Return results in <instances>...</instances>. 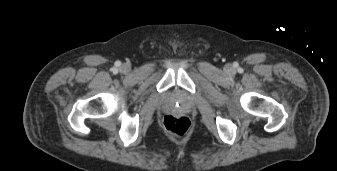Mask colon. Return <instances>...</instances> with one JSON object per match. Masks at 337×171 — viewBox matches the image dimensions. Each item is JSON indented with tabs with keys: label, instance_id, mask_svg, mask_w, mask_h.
I'll return each instance as SVG.
<instances>
[{
	"label": "colon",
	"instance_id": "colon-1",
	"mask_svg": "<svg viewBox=\"0 0 337 171\" xmlns=\"http://www.w3.org/2000/svg\"><path fill=\"white\" fill-rule=\"evenodd\" d=\"M163 124L165 129L174 135H183L190 127V121L185 116L168 115Z\"/></svg>",
	"mask_w": 337,
	"mask_h": 171
}]
</instances>
